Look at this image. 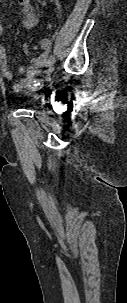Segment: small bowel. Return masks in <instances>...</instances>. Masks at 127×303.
<instances>
[{"label":"small bowel","instance_id":"1","mask_svg":"<svg viewBox=\"0 0 127 303\" xmlns=\"http://www.w3.org/2000/svg\"><path fill=\"white\" fill-rule=\"evenodd\" d=\"M17 2L23 15V26L26 29H32L36 27L38 19L35 15L31 0H17ZM4 32L5 28L0 22V37L4 34ZM39 46L42 49L41 54L36 58H33L27 66L19 67L18 73L20 74V79L13 83V91L21 92L25 89H33L39 85L40 80L37 78V76L40 74L41 69L47 64L51 49V41L48 38H42L39 41ZM22 52L27 55L29 53V48L27 46H23ZM0 71L4 79L9 81L13 79V73L7 64L6 50L1 43Z\"/></svg>","mask_w":127,"mask_h":303}]
</instances>
